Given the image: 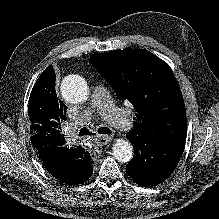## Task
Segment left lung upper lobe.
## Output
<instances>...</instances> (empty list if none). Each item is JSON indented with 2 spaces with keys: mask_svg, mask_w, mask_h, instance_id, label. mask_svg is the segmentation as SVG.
<instances>
[{
  "mask_svg": "<svg viewBox=\"0 0 219 219\" xmlns=\"http://www.w3.org/2000/svg\"><path fill=\"white\" fill-rule=\"evenodd\" d=\"M90 62L117 97L135 108L134 130L128 134L184 147L186 110L170 66L145 49L93 54Z\"/></svg>",
  "mask_w": 219,
  "mask_h": 219,
  "instance_id": "5c2ea615",
  "label": "left lung upper lobe"
}]
</instances>
